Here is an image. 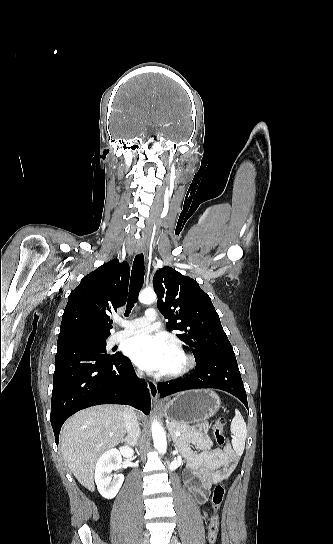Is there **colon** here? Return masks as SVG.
I'll list each match as a JSON object with an SVG mask.
<instances>
[{
	"label": "colon",
	"instance_id": "colon-1",
	"mask_svg": "<svg viewBox=\"0 0 333 544\" xmlns=\"http://www.w3.org/2000/svg\"><path fill=\"white\" fill-rule=\"evenodd\" d=\"M226 418L225 417H219L213 427V434L215 442L218 446H223L225 442L224 437V427L226 425ZM224 472H226V469H223ZM225 494V485L223 481L217 483L212 491L211 494V508H212V515L209 520L208 524V543L214 544L217 540V535L219 532V515L218 512L221 508L223 498Z\"/></svg>",
	"mask_w": 333,
	"mask_h": 544
}]
</instances>
